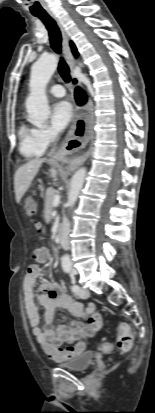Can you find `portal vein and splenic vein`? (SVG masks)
<instances>
[{"label": "portal vein and splenic vein", "mask_w": 155, "mask_h": 413, "mask_svg": "<svg viewBox=\"0 0 155 413\" xmlns=\"http://www.w3.org/2000/svg\"><path fill=\"white\" fill-rule=\"evenodd\" d=\"M59 203H60V196L58 194H56L54 196L53 204L57 205Z\"/></svg>", "instance_id": "1"}]
</instances>
